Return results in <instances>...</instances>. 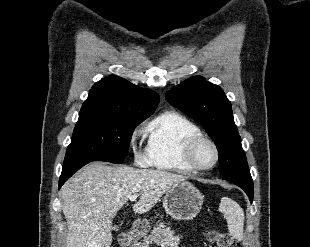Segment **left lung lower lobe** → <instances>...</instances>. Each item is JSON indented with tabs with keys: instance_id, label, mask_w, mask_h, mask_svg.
<instances>
[{
	"instance_id": "0a47b994",
	"label": "left lung lower lobe",
	"mask_w": 310,
	"mask_h": 247,
	"mask_svg": "<svg viewBox=\"0 0 310 247\" xmlns=\"http://www.w3.org/2000/svg\"><path fill=\"white\" fill-rule=\"evenodd\" d=\"M222 178L242 188L248 195L250 202H253V180L249 170L241 174L225 175Z\"/></svg>"
}]
</instances>
